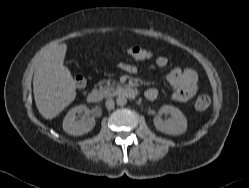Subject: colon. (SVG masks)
Instances as JSON below:
<instances>
[{"label": "colon", "instance_id": "obj_1", "mask_svg": "<svg viewBox=\"0 0 249 188\" xmlns=\"http://www.w3.org/2000/svg\"><path fill=\"white\" fill-rule=\"evenodd\" d=\"M127 53L135 59H148L152 56L151 51L140 47H132ZM74 84L77 88H84L85 80L82 76H76ZM195 106L198 110H206L210 106V98L205 95L198 97Z\"/></svg>", "mask_w": 249, "mask_h": 188}]
</instances>
